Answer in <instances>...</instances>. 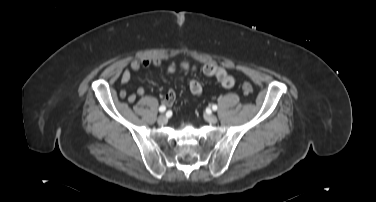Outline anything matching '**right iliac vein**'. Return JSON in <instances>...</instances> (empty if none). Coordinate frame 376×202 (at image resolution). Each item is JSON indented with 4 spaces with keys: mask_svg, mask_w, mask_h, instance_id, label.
<instances>
[{
    "mask_svg": "<svg viewBox=\"0 0 376 202\" xmlns=\"http://www.w3.org/2000/svg\"><path fill=\"white\" fill-rule=\"evenodd\" d=\"M157 122L159 124H165L167 122V117L164 114H162L158 117Z\"/></svg>",
    "mask_w": 376,
    "mask_h": 202,
    "instance_id": "right-iliac-vein-1",
    "label": "right iliac vein"
}]
</instances>
